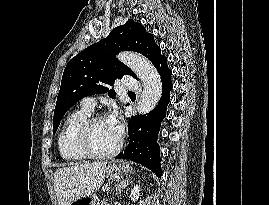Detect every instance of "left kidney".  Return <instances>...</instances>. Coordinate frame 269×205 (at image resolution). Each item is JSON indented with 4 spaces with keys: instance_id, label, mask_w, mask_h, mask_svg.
Listing matches in <instances>:
<instances>
[{
    "instance_id": "left-kidney-1",
    "label": "left kidney",
    "mask_w": 269,
    "mask_h": 205,
    "mask_svg": "<svg viewBox=\"0 0 269 205\" xmlns=\"http://www.w3.org/2000/svg\"><path fill=\"white\" fill-rule=\"evenodd\" d=\"M140 192V187L138 185L134 186L133 189L131 190L130 198L133 202L138 200L139 198V193Z\"/></svg>"
}]
</instances>
